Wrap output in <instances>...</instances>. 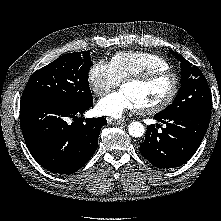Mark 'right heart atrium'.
<instances>
[{
	"label": "right heart atrium",
	"instance_id": "obj_1",
	"mask_svg": "<svg viewBox=\"0 0 221 221\" xmlns=\"http://www.w3.org/2000/svg\"><path fill=\"white\" fill-rule=\"evenodd\" d=\"M87 82L97 96L105 95L120 84L110 64L103 60L92 64L87 74Z\"/></svg>",
	"mask_w": 221,
	"mask_h": 221
}]
</instances>
